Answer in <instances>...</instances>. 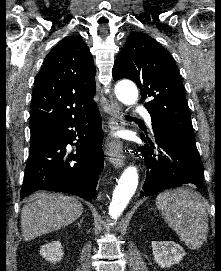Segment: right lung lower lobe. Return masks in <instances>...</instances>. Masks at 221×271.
I'll list each match as a JSON object with an SVG mask.
<instances>
[{
	"instance_id": "right-lung-lower-lobe-1",
	"label": "right lung lower lobe",
	"mask_w": 221,
	"mask_h": 271,
	"mask_svg": "<svg viewBox=\"0 0 221 271\" xmlns=\"http://www.w3.org/2000/svg\"><path fill=\"white\" fill-rule=\"evenodd\" d=\"M74 140L78 142L73 144ZM67 144L76 145V154L68 155ZM103 156L101 116L96 107L31 142L20 197L51 190L91 200L96 194Z\"/></svg>"
}]
</instances>
